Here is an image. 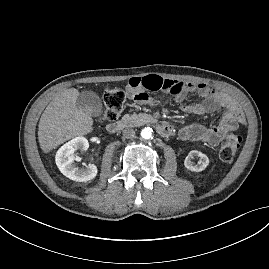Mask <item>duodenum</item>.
Wrapping results in <instances>:
<instances>
[{
	"instance_id": "410a0bca",
	"label": "duodenum",
	"mask_w": 269,
	"mask_h": 269,
	"mask_svg": "<svg viewBox=\"0 0 269 269\" xmlns=\"http://www.w3.org/2000/svg\"><path fill=\"white\" fill-rule=\"evenodd\" d=\"M148 122L153 124L157 132L163 137H169L173 133L172 126L167 123H160V122L155 121L152 118L148 119ZM124 126H125V122L115 121L108 124L107 130L108 132L114 134V133L119 132Z\"/></svg>"
}]
</instances>
